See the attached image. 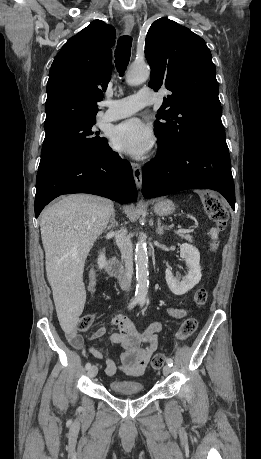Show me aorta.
Returning a JSON list of instances; mask_svg holds the SVG:
<instances>
[{
    "mask_svg": "<svg viewBox=\"0 0 261 459\" xmlns=\"http://www.w3.org/2000/svg\"><path fill=\"white\" fill-rule=\"evenodd\" d=\"M150 69L148 65H132L126 74V82L128 85H140L149 78ZM135 264H136V292L135 298L139 301L146 299L149 280H148V254L147 244L144 238H141L135 249Z\"/></svg>",
    "mask_w": 261,
    "mask_h": 459,
    "instance_id": "762f6f07",
    "label": "aorta"
}]
</instances>
